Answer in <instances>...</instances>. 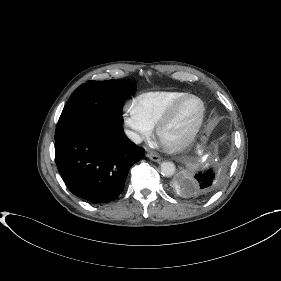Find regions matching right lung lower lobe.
Here are the masks:
<instances>
[{
	"label": "right lung lower lobe",
	"mask_w": 281,
	"mask_h": 281,
	"mask_svg": "<svg viewBox=\"0 0 281 281\" xmlns=\"http://www.w3.org/2000/svg\"><path fill=\"white\" fill-rule=\"evenodd\" d=\"M143 152L126 139L121 125L74 126L55 135L56 165L67 188L92 203L116 199Z\"/></svg>",
	"instance_id": "obj_1"
}]
</instances>
